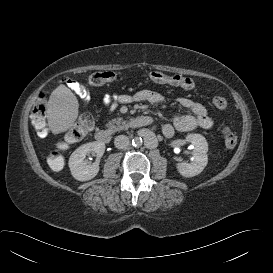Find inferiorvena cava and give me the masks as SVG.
<instances>
[{"instance_id": "1", "label": "inferior vena cava", "mask_w": 273, "mask_h": 273, "mask_svg": "<svg viewBox=\"0 0 273 273\" xmlns=\"http://www.w3.org/2000/svg\"><path fill=\"white\" fill-rule=\"evenodd\" d=\"M114 145L118 149H125L129 145V138L126 135H119L115 138Z\"/></svg>"}]
</instances>
